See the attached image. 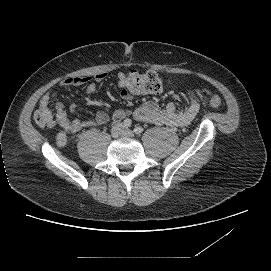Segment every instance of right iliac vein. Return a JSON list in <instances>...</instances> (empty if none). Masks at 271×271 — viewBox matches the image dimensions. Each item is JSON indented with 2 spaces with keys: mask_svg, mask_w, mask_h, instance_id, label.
I'll return each instance as SVG.
<instances>
[{
  "mask_svg": "<svg viewBox=\"0 0 271 271\" xmlns=\"http://www.w3.org/2000/svg\"><path fill=\"white\" fill-rule=\"evenodd\" d=\"M111 134L113 137H119L120 135L123 134V129L120 125H116L115 127H113Z\"/></svg>",
  "mask_w": 271,
  "mask_h": 271,
  "instance_id": "right-iliac-vein-1",
  "label": "right iliac vein"
}]
</instances>
